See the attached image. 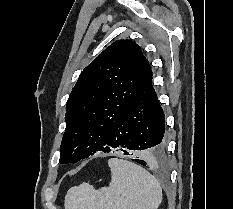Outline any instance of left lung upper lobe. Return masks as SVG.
I'll return each mask as SVG.
<instances>
[{
    "mask_svg": "<svg viewBox=\"0 0 233 209\" xmlns=\"http://www.w3.org/2000/svg\"><path fill=\"white\" fill-rule=\"evenodd\" d=\"M150 70L135 42L118 40L81 72L66 105L60 163H77L104 150L112 126Z\"/></svg>",
    "mask_w": 233,
    "mask_h": 209,
    "instance_id": "left-lung-upper-lobe-1",
    "label": "left lung upper lobe"
}]
</instances>
